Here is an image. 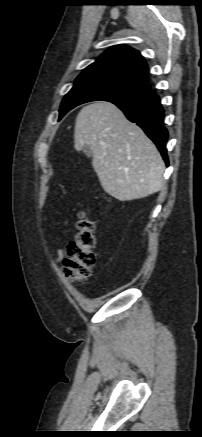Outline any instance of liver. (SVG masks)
Segmentation results:
<instances>
[{"label": "liver", "mask_w": 202, "mask_h": 437, "mask_svg": "<svg viewBox=\"0 0 202 437\" xmlns=\"http://www.w3.org/2000/svg\"><path fill=\"white\" fill-rule=\"evenodd\" d=\"M89 146L92 165L106 193L119 201L141 199L163 185L164 161L155 144L114 104L83 107L74 128V147Z\"/></svg>", "instance_id": "6515ba94"}]
</instances>
